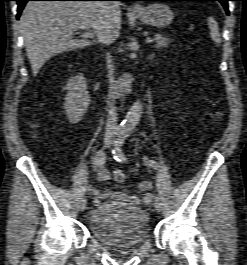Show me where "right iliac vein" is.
Returning a JSON list of instances; mask_svg holds the SVG:
<instances>
[{
  "instance_id": "1",
  "label": "right iliac vein",
  "mask_w": 247,
  "mask_h": 265,
  "mask_svg": "<svg viewBox=\"0 0 247 265\" xmlns=\"http://www.w3.org/2000/svg\"><path fill=\"white\" fill-rule=\"evenodd\" d=\"M106 145H110L111 144V140L110 139H106ZM87 207V201L86 199H82L80 202V210L84 211Z\"/></svg>"
}]
</instances>
